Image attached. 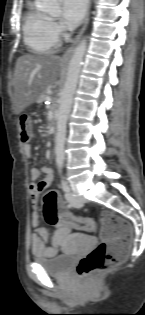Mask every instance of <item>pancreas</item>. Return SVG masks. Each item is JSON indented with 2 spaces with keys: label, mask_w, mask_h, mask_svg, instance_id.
I'll use <instances>...</instances> for the list:
<instances>
[{
  "label": "pancreas",
  "mask_w": 145,
  "mask_h": 315,
  "mask_svg": "<svg viewBox=\"0 0 145 315\" xmlns=\"http://www.w3.org/2000/svg\"><path fill=\"white\" fill-rule=\"evenodd\" d=\"M46 99H47L46 96H42L40 100L44 101V100H46Z\"/></svg>",
  "instance_id": "1"
}]
</instances>
